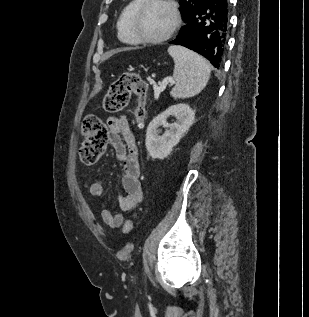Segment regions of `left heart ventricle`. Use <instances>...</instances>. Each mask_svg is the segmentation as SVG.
<instances>
[{
    "label": "left heart ventricle",
    "instance_id": "obj_1",
    "mask_svg": "<svg viewBox=\"0 0 309 317\" xmlns=\"http://www.w3.org/2000/svg\"><path fill=\"white\" fill-rule=\"evenodd\" d=\"M174 15L170 7L162 3L147 6L138 20L139 32L150 38L164 35L172 27Z\"/></svg>",
    "mask_w": 309,
    "mask_h": 317
}]
</instances>
